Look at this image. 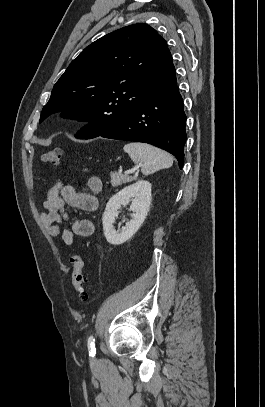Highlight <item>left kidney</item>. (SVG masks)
I'll return each mask as SVG.
<instances>
[{
  "label": "left kidney",
  "instance_id": "left-kidney-1",
  "mask_svg": "<svg viewBox=\"0 0 265 407\" xmlns=\"http://www.w3.org/2000/svg\"><path fill=\"white\" fill-rule=\"evenodd\" d=\"M130 201V210L133 211L131 219L121 230L116 231L113 224L118 216V210L121 206L128 205ZM150 204L151 183L145 180H139L112 196L102 217L103 231L108 243L121 245L129 240L146 219Z\"/></svg>",
  "mask_w": 265,
  "mask_h": 407
}]
</instances>
